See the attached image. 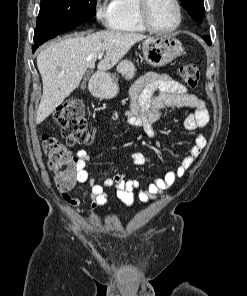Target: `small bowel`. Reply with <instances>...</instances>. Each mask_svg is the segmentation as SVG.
<instances>
[{"label":"small bowel","mask_w":247,"mask_h":296,"mask_svg":"<svg viewBox=\"0 0 247 296\" xmlns=\"http://www.w3.org/2000/svg\"><path fill=\"white\" fill-rule=\"evenodd\" d=\"M166 107L191 108L183 125L188 131H196L205 127L209 122V113L205 102L188 91L185 85L170 76L154 72L141 76L132 86L130 91V108L123 114H114L112 120L121 119L125 125L132 128H141L148 136L156 135L155 124L161 120L163 110ZM207 146V138L202 134H196L190 152L185 156L179 166L169 170L163 177L154 178L147 186H142L136 179H126L124 175L117 174L107 177L102 183H97L90 177L86 166L90 161L89 154L84 150L77 152L79 167L76 180L90 187L91 204L89 211L106 205L108 200L107 189L113 188L117 197L128 207L135 203V196L143 202L149 203L155 200L159 194L166 193L168 189L182 178L190 168L195 158ZM135 165L142 166L150 161L149 157L141 152L132 153ZM62 198L68 204L76 206L80 203L77 195L67 192Z\"/></svg>","instance_id":"1"}]
</instances>
